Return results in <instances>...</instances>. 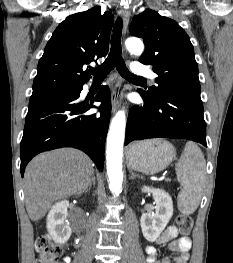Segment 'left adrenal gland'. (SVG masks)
Here are the masks:
<instances>
[{"label":"left adrenal gland","mask_w":233,"mask_h":263,"mask_svg":"<svg viewBox=\"0 0 233 263\" xmlns=\"http://www.w3.org/2000/svg\"><path fill=\"white\" fill-rule=\"evenodd\" d=\"M131 177L130 179H134V178H143L142 176H140L139 174H135L134 172L130 171Z\"/></svg>","instance_id":"1"}]
</instances>
